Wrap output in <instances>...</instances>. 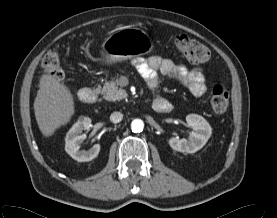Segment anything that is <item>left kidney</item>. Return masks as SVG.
<instances>
[{
  "mask_svg": "<svg viewBox=\"0 0 277 218\" xmlns=\"http://www.w3.org/2000/svg\"><path fill=\"white\" fill-rule=\"evenodd\" d=\"M186 122L191 128H193L189 139L171 137L168 143L175 151L182 153H195L206 144L212 134V128L202 116L197 114L187 115Z\"/></svg>",
  "mask_w": 277,
  "mask_h": 218,
  "instance_id": "obj_1",
  "label": "left kidney"
}]
</instances>
